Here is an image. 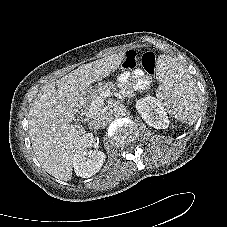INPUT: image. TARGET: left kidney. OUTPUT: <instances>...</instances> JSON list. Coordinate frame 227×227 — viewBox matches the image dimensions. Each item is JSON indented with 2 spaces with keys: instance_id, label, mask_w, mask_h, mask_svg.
<instances>
[{
  "instance_id": "5707ae66",
  "label": "left kidney",
  "mask_w": 227,
  "mask_h": 227,
  "mask_svg": "<svg viewBox=\"0 0 227 227\" xmlns=\"http://www.w3.org/2000/svg\"><path fill=\"white\" fill-rule=\"evenodd\" d=\"M136 109L149 126L155 129L168 128L169 120L164 106L155 97L147 96L137 100Z\"/></svg>"
}]
</instances>
